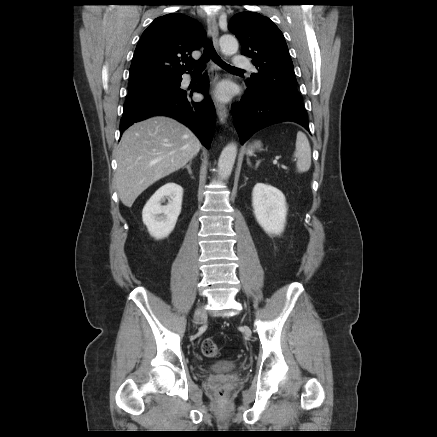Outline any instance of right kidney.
Masks as SVG:
<instances>
[{
    "instance_id": "obj_1",
    "label": "right kidney",
    "mask_w": 437,
    "mask_h": 437,
    "mask_svg": "<svg viewBox=\"0 0 437 437\" xmlns=\"http://www.w3.org/2000/svg\"><path fill=\"white\" fill-rule=\"evenodd\" d=\"M183 188L173 182L160 187L148 200L142 211L143 223L155 239L166 238L174 229L181 213ZM166 205H162L165 200Z\"/></svg>"
}]
</instances>
